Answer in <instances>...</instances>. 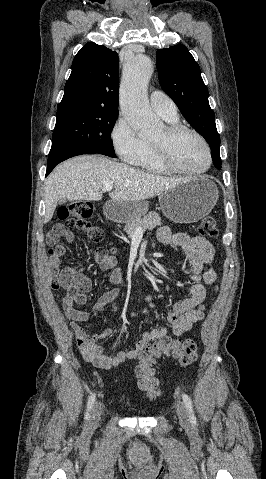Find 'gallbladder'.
Returning a JSON list of instances; mask_svg holds the SVG:
<instances>
[{
	"instance_id": "gallbladder-1",
	"label": "gallbladder",
	"mask_w": 266,
	"mask_h": 479,
	"mask_svg": "<svg viewBox=\"0 0 266 479\" xmlns=\"http://www.w3.org/2000/svg\"><path fill=\"white\" fill-rule=\"evenodd\" d=\"M59 203H60V204L66 203V199H65V198L60 199V200H59Z\"/></svg>"
}]
</instances>
